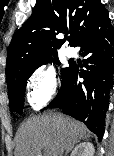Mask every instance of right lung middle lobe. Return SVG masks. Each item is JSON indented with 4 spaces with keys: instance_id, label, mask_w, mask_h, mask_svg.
Segmentation results:
<instances>
[{
    "instance_id": "obj_1",
    "label": "right lung middle lobe",
    "mask_w": 114,
    "mask_h": 156,
    "mask_svg": "<svg viewBox=\"0 0 114 156\" xmlns=\"http://www.w3.org/2000/svg\"><path fill=\"white\" fill-rule=\"evenodd\" d=\"M49 61L52 62L53 59L50 58L47 61H45L44 63H42L41 65L46 64ZM57 64H59V60H57ZM38 67L19 74L8 85L9 107H10V109L12 111L18 112L20 114L22 113V106L24 104V94H25V87H26L27 80L31 76V74L34 72V70H36ZM70 68H71V64H70L69 67L63 68L61 70V73H62V86H63V84H64V82L66 80V77H67V75L69 73ZM61 89H62V87H61ZM61 89H60V91H61ZM58 94H57V96H58Z\"/></svg>"
}]
</instances>
